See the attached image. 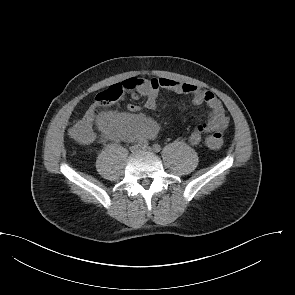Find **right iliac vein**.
Instances as JSON below:
<instances>
[{
	"mask_svg": "<svg viewBox=\"0 0 295 295\" xmlns=\"http://www.w3.org/2000/svg\"><path fill=\"white\" fill-rule=\"evenodd\" d=\"M140 150V146L138 144H134L130 147V151L132 153H137Z\"/></svg>",
	"mask_w": 295,
	"mask_h": 295,
	"instance_id": "obj_1",
	"label": "right iliac vein"
}]
</instances>
